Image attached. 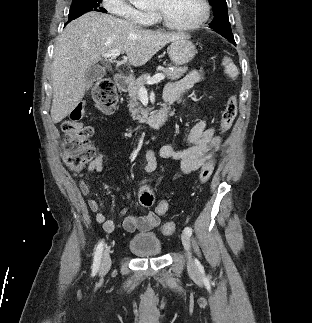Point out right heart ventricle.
Returning <instances> with one entry per match:
<instances>
[{
    "label": "right heart ventricle",
    "mask_w": 312,
    "mask_h": 323,
    "mask_svg": "<svg viewBox=\"0 0 312 323\" xmlns=\"http://www.w3.org/2000/svg\"><path fill=\"white\" fill-rule=\"evenodd\" d=\"M143 20H157V13H143Z\"/></svg>",
    "instance_id": "e07e8e85"
}]
</instances>
